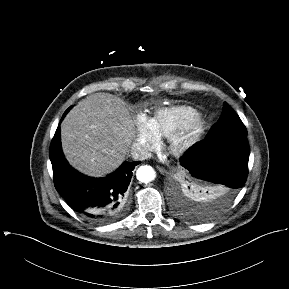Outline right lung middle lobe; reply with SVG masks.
Returning <instances> with one entry per match:
<instances>
[{"instance_id": "dd1d6c3e", "label": "right lung middle lobe", "mask_w": 289, "mask_h": 289, "mask_svg": "<svg viewBox=\"0 0 289 289\" xmlns=\"http://www.w3.org/2000/svg\"><path fill=\"white\" fill-rule=\"evenodd\" d=\"M70 108H71V107H69V108L66 110V112L64 113V115L69 111Z\"/></svg>"}]
</instances>
